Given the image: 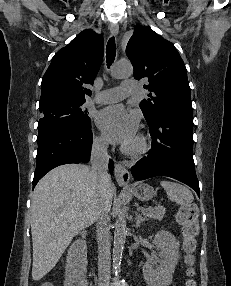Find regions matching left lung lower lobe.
<instances>
[{"mask_svg": "<svg viewBox=\"0 0 231 286\" xmlns=\"http://www.w3.org/2000/svg\"><path fill=\"white\" fill-rule=\"evenodd\" d=\"M148 125L152 149L132 167L134 181L168 176L187 184L200 196L193 160L192 113L161 111Z\"/></svg>", "mask_w": 231, "mask_h": 286, "instance_id": "left-lung-lower-lobe-1", "label": "left lung lower lobe"}]
</instances>
